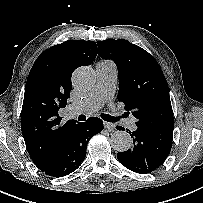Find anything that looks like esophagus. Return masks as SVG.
I'll list each match as a JSON object with an SVG mask.
<instances>
[{
    "instance_id": "esophagus-1",
    "label": "esophagus",
    "mask_w": 203,
    "mask_h": 203,
    "mask_svg": "<svg viewBox=\"0 0 203 203\" xmlns=\"http://www.w3.org/2000/svg\"><path fill=\"white\" fill-rule=\"evenodd\" d=\"M104 127L109 131L115 130V124L104 121Z\"/></svg>"
}]
</instances>
